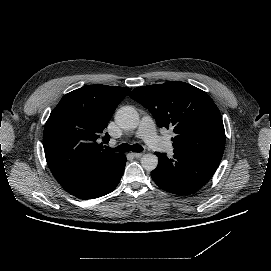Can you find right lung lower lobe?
Here are the masks:
<instances>
[{
    "instance_id": "right-lung-lower-lobe-1",
    "label": "right lung lower lobe",
    "mask_w": 271,
    "mask_h": 271,
    "mask_svg": "<svg viewBox=\"0 0 271 271\" xmlns=\"http://www.w3.org/2000/svg\"><path fill=\"white\" fill-rule=\"evenodd\" d=\"M126 156L121 154L111 165H103L71 186L64 188L80 199H93L112 192L124 173Z\"/></svg>"
}]
</instances>
